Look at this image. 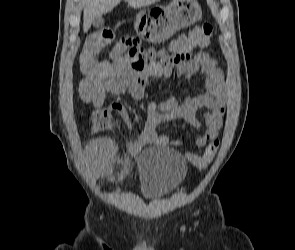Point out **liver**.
I'll return each mask as SVG.
<instances>
[{"instance_id": "liver-1", "label": "liver", "mask_w": 295, "mask_h": 250, "mask_svg": "<svg viewBox=\"0 0 295 250\" xmlns=\"http://www.w3.org/2000/svg\"><path fill=\"white\" fill-rule=\"evenodd\" d=\"M122 0H84L83 1V31L87 32L94 19L111 12ZM133 8L149 6L158 0H124Z\"/></svg>"}]
</instances>
